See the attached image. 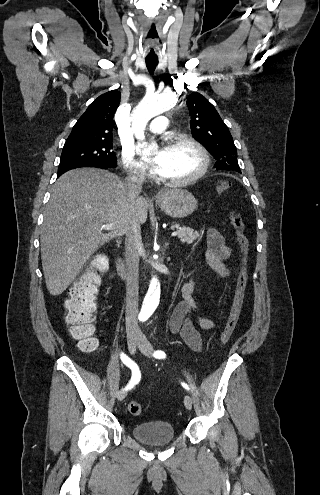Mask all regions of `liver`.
<instances>
[{"label":"liver","mask_w":320,"mask_h":495,"mask_svg":"<svg viewBox=\"0 0 320 495\" xmlns=\"http://www.w3.org/2000/svg\"><path fill=\"white\" fill-rule=\"evenodd\" d=\"M148 203L131 200L124 182L96 168L62 174L52 188L41 228V260L53 296L62 294L100 245L126 234L133 218L147 220ZM110 232L102 233L104 226Z\"/></svg>","instance_id":"liver-1"}]
</instances>
